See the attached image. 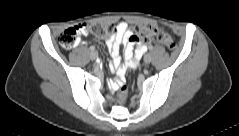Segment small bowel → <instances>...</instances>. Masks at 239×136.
I'll return each instance as SVG.
<instances>
[{
  "mask_svg": "<svg viewBox=\"0 0 239 136\" xmlns=\"http://www.w3.org/2000/svg\"><path fill=\"white\" fill-rule=\"evenodd\" d=\"M133 38L134 34L129 29L128 24L122 21L116 25L115 33L106 41L112 56L111 67L118 70L119 76H123L128 69L136 67L141 56L147 53V46ZM121 49L126 61L124 66H120Z\"/></svg>",
  "mask_w": 239,
  "mask_h": 136,
  "instance_id": "small-bowel-1",
  "label": "small bowel"
}]
</instances>
